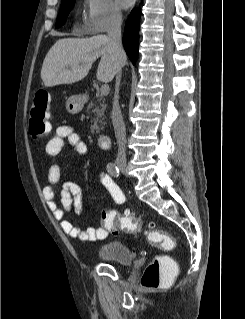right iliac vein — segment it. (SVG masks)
Listing matches in <instances>:
<instances>
[{"instance_id": "right-iliac-vein-1", "label": "right iliac vein", "mask_w": 245, "mask_h": 319, "mask_svg": "<svg viewBox=\"0 0 245 319\" xmlns=\"http://www.w3.org/2000/svg\"><path fill=\"white\" fill-rule=\"evenodd\" d=\"M118 168L120 169L121 172H123L124 174H127L128 169H127V165L125 162H118L117 163Z\"/></svg>"}]
</instances>
